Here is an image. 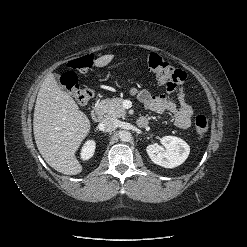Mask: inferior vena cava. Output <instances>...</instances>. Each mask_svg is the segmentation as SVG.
Here are the masks:
<instances>
[{
	"instance_id": "1",
	"label": "inferior vena cava",
	"mask_w": 247,
	"mask_h": 247,
	"mask_svg": "<svg viewBox=\"0 0 247 247\" xmlns=\"http://www.w3.org/2000/svg\"><path fill=\"white\" fill-rule=\"evenodd\" d=\"M100 126L103 131L111 132L117 128V122L113 117H107L100 123Z\"/></svg>"
}]
</instances>
